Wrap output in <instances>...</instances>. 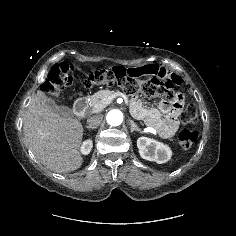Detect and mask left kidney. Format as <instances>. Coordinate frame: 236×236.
Returning <instances> with one entry per match:
<instances>
[{
	"mask_svg": "<svg viewBox=\"0 0 236 236\" xmlns=\"http://www.w3.org/2000/svg\"><path fill=\"white\" fill-rule=\"evenodd\" d=\"M140 156L148 161L162 164L170 160L172 151L169 146L148 137H140L137 140Z\"/></svg>",
	"mask_w": 236,
	"mask_h": 236,
	"instance_id": "1",
	"label": "left kidney"
}]
</instances>
